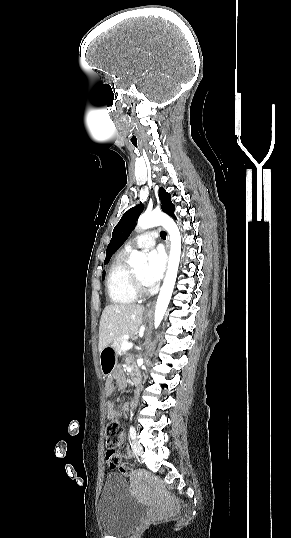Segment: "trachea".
Instances as JSON below:
<instances>
[{
	"instance_id": "1",
	"label": "trachea",
	"mask_w": 291,
	"mask_h": 538,
	"mask_svg": "<svg viewBox=\"0 0 291 538\" xmlns=\"http://www.w3.org/2000/svg\"><path fill=\"white\" fill-rule=\"evenodd\" d=\"M160 236L162 239H166V232L165 231H161L160 232Z\"/></svg>"
}]
</instances>
